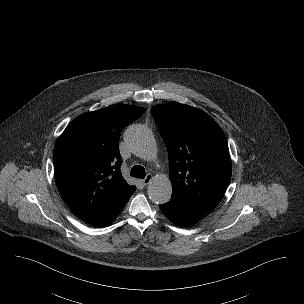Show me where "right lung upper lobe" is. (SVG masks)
Returning a JSON list of instances; mask_svg holds the SVG:
<instances>
[{"label": "right lung upper lobe", "mask_w": 304, "mask_h": 304, "mask_svg": "<svg viewBox=\"0 0 304 304\" xmlns=\"http://www.w3.org/2000/svg\"><path fill=\"white\" fill-rule=\"evenodd\" d=\"M145 108L111 105L74 119L58 138L54 174L61 197L90 224L108 215L136 188L122 177L119 137Z\"/></svg>", "instance_id": "obj_1"}]
</instances>
